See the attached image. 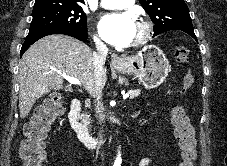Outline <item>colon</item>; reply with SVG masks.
<instances>
[{
    "mask_svg": "<svg viewBox=\"0 0 227 166\" xmlns=\"http://www.w3.org/2000/svg\"><path fill=\"white\" fill-rule=\"evenodd\" d=\"M188 50L177 45L175 49V60L178 63H187ZM194 83L192 73H186L183 77V93ZM64 99L60 94L48 97L34 112L31 120L24 127V139L21 143L20 158L23 166H42L45 159V140L50 128L64 110ZM171 121L174 135L177 139L180 151V166H194L196 159V141L193 126L185 108L181 105L174 106L171 111Z\"/></svg>",
    "mask_w": 227,
    "mask_h": 166,
    "instance_id": "1",
    "label": "colon"
}]
</instances>
